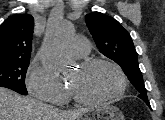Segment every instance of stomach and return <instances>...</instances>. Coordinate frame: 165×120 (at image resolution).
<instances>
[{"label": "stomach", "mask_w": 165, "mask_h": 120, "mask_svg": "<svg viewBox=\"0 0 165 120\" xmlns=\"http://www.w3.org/2000/svg\"><path fill=\"white\" fill-rule=\"evenodd\" d=\"M79 120H124V116L117 107L101 105L88 109Z\"/></svg>", "instance_id": "stomach-1"}]
</instances>
